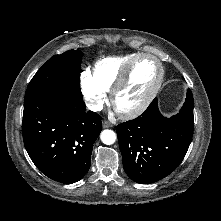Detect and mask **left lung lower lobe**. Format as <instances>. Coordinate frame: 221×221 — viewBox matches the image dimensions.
Returning <instances> with one entry per match:
<instances>
[{
	"instance_id": "left-lung-lower-lobe-1",
	"label": "left lung lower lobe",
	"mask_w": 221,
	"mask_h": 221,
	"mask_svg": "<svg viewBox=\"0 0 221 221\" xmlns=\"http://www.w3.org/2000/svg\"><path fill=\"white\" fill-rule=\"evenodd\" d=\"M193 106L188 90L180 112L166 118L155 98L140 117L116 127L123 167L133 181L154 183L178 167L192 140Z\"/></svg>"
}]
</instances>
